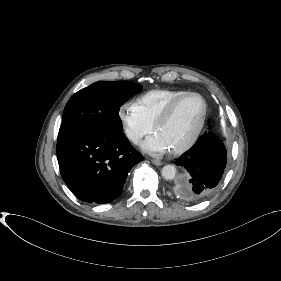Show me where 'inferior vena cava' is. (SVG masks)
I'll use <instances>...</instances> for the list:
<instances>
[{"label":"inferior vena cava","mask_w":281,"mask_h":281,"mask_svg":"<svg viewBox=\"0 0 281 281\" xmlns=\"http://www.w3.org/2000/svg\"><path fill=\"white\" fill-rule=\"evenodd\" d=\"M130 139L134 142V143H137L139 141V137L136 136V135H131L130 136Z\"/></svg>","instance_id":"1"}]
</instances>
